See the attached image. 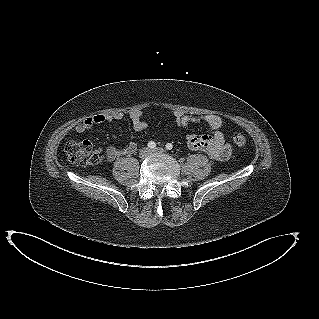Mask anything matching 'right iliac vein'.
<instances>
[{"instance_id": "63e3f726", "label": "right iliac vein", "mask_w": 319, "mask_h": 319, "mask_svg": "<svg viewBox=\"0 0 319 319\" xmlns=\"http://www.w3.org/2000/svg\"><path fill=\"white\" fill-rule=\"evenodd\" d=\"M150 153H151V151H150L149 148H143V149H141L140 152H139V157H140L141 159H144V158H146L147 156H149Z\"/></svg>"}]
</instances>
